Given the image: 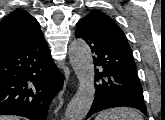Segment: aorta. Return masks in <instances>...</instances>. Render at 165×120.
I'll return each instance as SVG.
<instances>
[{
	"mask_svg": "<svg viewBox=\"0 0 165 120\" xmlns=\"http://www.w3.org/2000/svg\"><path fill=\"white\" fill-rule=\"evenodd\" d=\"M70 64L79 87L65 111L66 120H83L95 97V70L91 50L83 39H75L69 46Z\"/></svg>",
	"mask_w": 165,
	"mask_h": 120,
	"instance_id": "aorta-1",
	"label": "aorta"
}]
</instances>
